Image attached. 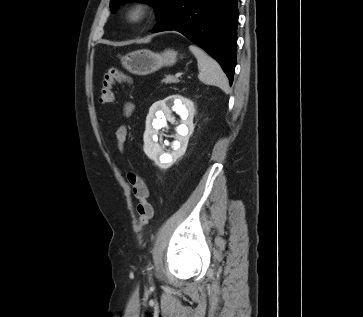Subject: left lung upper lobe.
I'll return each mask as SVG.
<instances>
[{
  "label": "left lung upper lobe",
  "instance_id": "5c2ea615",
  "mask_svg": "<svg viewBox=\"0 0 363 317\" xmlns=\"http://www.w3.org/2000/svg\"><path fill=\"white\" fill-rule=\"evenodd\" d=\"M127 1H132V0H111L110 9L112 11H114L117 5L127 2ZM139 1L149 2L152 5H154L156 7L158 16L162 12V10L165 8L167 3L169 2V0H139Z\"/></svg>",
  "mask_w": 363,
  "mask_h": 317
}]
</instances>
